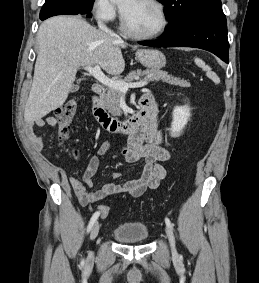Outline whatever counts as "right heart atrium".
Here are the masks:
<instances>
[{
	"instance_id": "right-heart-atrium-1",
	"label": "right heart atrium",
	"mask_w": 259,
	"mask_h": 283,
	"mask_svg": "<svg viewBox=\"0 0 259 283\" xmlns=\"http://www.w3.org/2000/svg\"><path fill=\"white\" fill-rule=\"evenodd\" d=\"M92 12L94 17L102 22H111L117 16V8L111 0H94Z\"/></svg>"
}]
</instances>
